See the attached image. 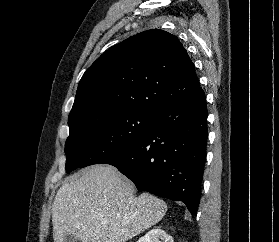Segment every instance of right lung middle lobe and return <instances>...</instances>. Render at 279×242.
Listing matches in <instances>:
<instances>
[{"mask_svg": "<svg viewBox=\"0 0 279 242\" xmlns=\"http://www.w3.org/2000/svg\"><path fill=\"white\" fill-rule=\"evenodd\" d=\"M155 112L121 109L69 120L66 172L101 163L139 142L153 129Z\"/></svg>", "mask_w": 279, "mask_h": 242, "instance_id": "obj_1", "label": "right lung middle lobe"}]
</instances>
